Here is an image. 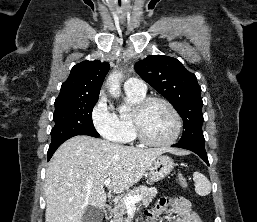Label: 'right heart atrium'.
<instances>
[{"label": "right heart atrium", "instance_id": "obj_1", "mask_svg": "<svg viewBox=\"0 0 257 222\" xmlns=\"http://www.w3.org/2000/svg\"><path fill=\"white\" fill-rule=\"evenodd\" d=\"M107 100L105 97H101L98 103L99 107H106ZM97 106V107H98ZM96 110L94 111V113ZM111 122L109 124H106L104 126L97 123L96 120H94V125L97 129V131L105 138L112 140V141H121L124 139V130L120 123L118 122L116 115L111 114L110 116Z\"/></svg>", "mask_w": 257, "mask_h": 222}]
</instances>
